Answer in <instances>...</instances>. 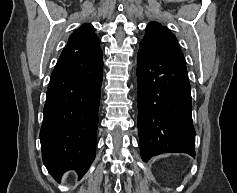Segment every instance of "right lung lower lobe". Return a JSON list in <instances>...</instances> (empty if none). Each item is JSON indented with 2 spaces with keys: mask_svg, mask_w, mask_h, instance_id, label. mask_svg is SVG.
Instances as JSON below:
<instances>
[{
  "mask_svg": "<svg viewBox=\"0 0 237 193\" xmlns=\"http://www.w3.org/2000/svg\"><path fill=\"white\" fill-rule=\"evenodd\" d=\"M102 69V53L63 51L51 74L40 140L43 163L56 180L70 169L82 178L95 158Z\"/></svg>",
  "mask_w": 237,
  "mask_h": 193,
  "instance_id": "right-lung-lower-lobe-1",
  "label": "right lung lower lobe"
}]
</instances>
